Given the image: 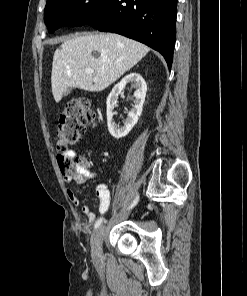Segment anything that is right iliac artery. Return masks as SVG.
Here are the masks:
<instances>
[{"label":"right iliac artery","mask_w":247,"mask_h":296,"mask_svg":"<svg viewBox=\"0 0 247 296\" xmlns=\"http://www.w3.org/2000/svg\"><path fill=\"white\" fill-rule=\"evenodd\" d=\"M139 201V196L137 195L136 198L134 199V201L132 202V204L129 206L130 208H133ZM104 218H100L99 220H97V222L94 225V228L97 229L99 228V226L103 223Z\"/></svg>","instance_id":"right-iliac-artery-1"}]
</instances>
